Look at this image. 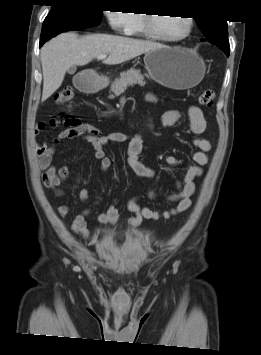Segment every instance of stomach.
Returning <instances> with one entry per match:
<instances>
[{"label":"stomach","instance_id":"obj_1","mask_svg":"<svg viewBox=\"0 0 261 355\" xmlns=\"http://www.w3.org/2000/svg\"><path fill=\"white\" fill-rule=\"evenodd\" d=\"M145 67L151 79L176 90H184L198 85L205 75L202 58L191 50L181 47H161L149 51L144 57ZM108 80L90 74L85 86L99 89L106 86Z\"/></svg>","mask_w":261,"mask_h":355}]
</instances>
